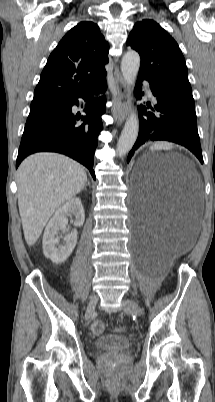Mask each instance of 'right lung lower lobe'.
<instances>
[{"label":"right lung lower lobe","mask_w":215,"mask_h":402,"mask_svg":"<svg viewBox=\"0 0 215 402\" xmlns=\"http://www.w3.org/2000/svg\"><path fill=\"white\" fill-rule=\"evenodd\" d=\"M105 75L91 88L66 99L63 108L53 116L24 130L22 135L16 168L28 155L41 152H58L65 154L86 166L93 178L94 152L97 137L103 128L101 116L105 113L106 90ZM98 96L93 98L91 94ZM78 98H83L86 116L72 113V106L79 105Z\"/></svg>","instance_id":"right-lung-lower-lobe-1"}]
</instances>
